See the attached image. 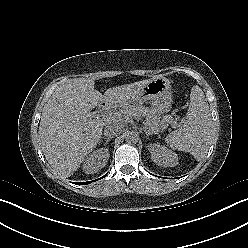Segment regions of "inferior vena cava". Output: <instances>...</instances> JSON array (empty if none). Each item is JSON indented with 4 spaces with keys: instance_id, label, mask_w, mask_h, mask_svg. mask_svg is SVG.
Returning a JSON list of instances; mask_svg holds the SVG:
<instances>
[{
    "instance_id": "1",
    "label": "inferior vena cava",
    "mask_w": 248,
    "mask_h": 248,
    "mask_svg": "<svg viewBox=\"0 0 248 248\" xmlns=\"http://www.w3.org/2000/svg\"><path fill=\"white\" fill-rule=\"evenodd\" d=\"M122 133V128L118 124H108L105 126L104 134L109 137H115Z\"/></svg>"
}]
</instances>
